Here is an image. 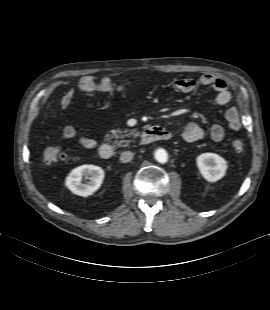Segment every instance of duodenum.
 Here are the masks:
<instances>
[{
  "label": "duodenum",
  "instance_id": "duodenum-1",
  "mask_svg": "<svg viewBox=\"0 0 270 310\" xmlns=\"http://www.w3.org/2000/svg\"><path fill=\"white\" fill-rule=\"evenodd\" d=\"M171 138V132L166 128L152 126L144 130L141 141L143 144L152 143L155 141L168 140ZM99 157L103 160H108L113 157L114 149L111 144L103 143L98 149Z\"/></svg>",
  "mask_w": 270,
  "mask_h": 310
}]
</instances>
